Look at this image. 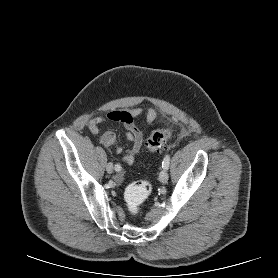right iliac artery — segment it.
<instances>
[{
	"mask_svg": "<svg viewBox=\"0 0 278 278\" xmlns=\"http://www.w3.org/2000/svg\"><path fill=\"white\" fill-rule=\"evenodd\" d=\"M115 170H116V171H120V170H121V166H120L119 164H116V165H115Z\"/></svg>",
	"mask_w": 278,
	"mask_h": 278,
	"instance_id": "right-iliac-artery-1",
	"label": "right iliac artery"
}]
</instances>
